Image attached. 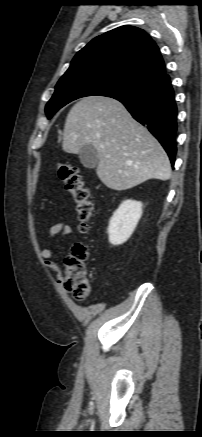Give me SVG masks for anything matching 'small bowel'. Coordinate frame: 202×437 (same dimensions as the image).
I'll list each match as a JSON object with an SVG mask.
<instances>
[{
  "mask_svg": "<svg viewBox=\"0 0 202 437\" xmlns=\"http://www.w3.org/2000/svg\"><path fill=\"white\" fill-rule=\"evenodd\" d=\"M73 233H74V228L67 221H61L53 224L49 228L47 239L60 240L61 238L71 235ZM41 256L44 259V264L48 270L53 272L59 271L58 264L53 260L54 253L51 249H47V248L43 249L41 251Z\"/></svg>",
  "mask_w": 202,
  "mask_h": 437,
  "instance_id": "small-bowel-1",
  "label": "small bowel"
}]
</instances>
